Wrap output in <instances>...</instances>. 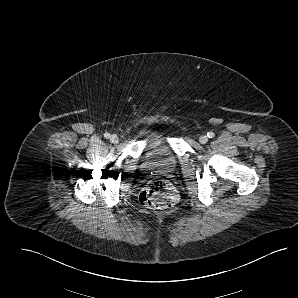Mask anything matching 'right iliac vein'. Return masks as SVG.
<instances>
[{
	"instance_id": "63e3f726",
	"label": "right iliac vein",
	"mask_w": 298,
	"mask_h": 298,
	"mask_svg": "<svg viewBox=\"0 0 298 298\" xmlns=\"http://www.w3.org/2000/svg\"><path fill=\"white\" fill-rule=\"evenodd\" d=\"M110 141L113 143V144H117L119 142V137L116 135V134H113L111 135L110 137Z\"/></svg>"
}]
</instances>
